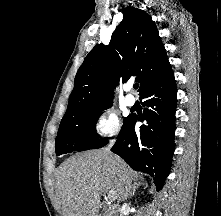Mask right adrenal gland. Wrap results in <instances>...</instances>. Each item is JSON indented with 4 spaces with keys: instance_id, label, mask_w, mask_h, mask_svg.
<instances>
[{
    "instance_id": "2a0ac1e0",
    "label": "right adrenal gland",
    "mask_w": 221,
    "mask_h": 216,
    "mask_svg": "<svg viewBox=\"0 0 221 216\" xmlns=\"http://www.w3.org/2000/svg\"><path fill=\"white\" fill-rule=\"evenodd\" d=\"M140 185H145V183H140V182H139L137 186H140ZM134 193H135V192L133 191V193L130 195V197H132V196L134 195Z\"/></svg>"
}]
</instances>
